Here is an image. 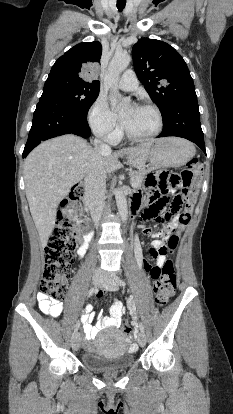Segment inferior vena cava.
I'll list each match as a JSON object with an SVG mask.
<instances>
[{
	"instance_id": "obj_1",
	"label": "inferior vena cava",
	"mask_w": 233,
	"mask_h": 414,
	"mask_svg": "<svg viewBox=\"0 0 233 414\" xmlns=\"http://www.w3.org/2000/svg\"><path fill=\"white\" fill-rule=\"evenodd\" d=\"M94 153L84 177V203L89 207L96 225L103 215L106 193V171L102 167L101 155L111 153L109 145L94 140Z\"/></svg>"
}]
</instances>
